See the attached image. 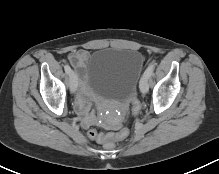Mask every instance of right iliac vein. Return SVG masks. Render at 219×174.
I'll list each match as a JSON object with an SVG mask.
<instances>
[{"label":"right iliac vein","mask_w":219,"mask_h":174,"mask_svg":"<svg viewBox=\"0 0 219 174\" xmlns=\"http://www.w3.org/2000/svg\"><path fill=\"white\" fill-rule=\"evenodd\" d=\"M77 85H78L77 74L74 71H71L69 75V88L71 93H74L76 91Z\"/></svg>","instance_id":"1"}]
</instances>
